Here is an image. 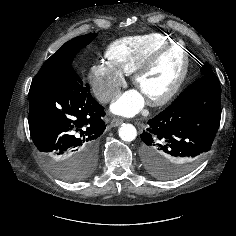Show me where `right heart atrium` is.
I'll return each instance as SVG.
<instances>
[{
    "instance_id": "obj_1",
    "label": "right heart atrium",
    "mask_w": 236,
    "mask_h": 236,
    "mask_svg": "<svg viewBox=\"0 0 236 236\" xmlns=\"http://www.w3.org/2000/svg\"><path fill=\"white\" fill-rule=\"evenodd\" d=\"M89 80L95 97L103 104L115 98L125 82L123 74L105 61L91 66Z\"/></svg>"
}]
</instances>
